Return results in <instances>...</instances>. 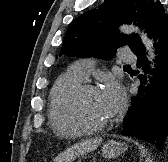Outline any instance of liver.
I'll return each mask as SVG.
<instances>
[{
	"label": "liver",
	"mask_w": 168,
	"mask_h": 162,
	"mask_svg": "<svg viewBox=\"0 0 168 162\" xmlns=\"http://www.w3.org/2000/svg\"><path fill=\"white\" fill-rule=\"evenodd\" d=\"M101 142L102 138H95L77 143L59 154L53 162H71L76 157H80L86 153L94 151Z\"/></svg>",
	"instance_id": "1"
}]
</instances>
